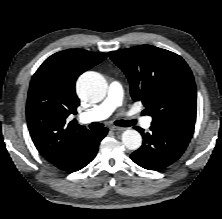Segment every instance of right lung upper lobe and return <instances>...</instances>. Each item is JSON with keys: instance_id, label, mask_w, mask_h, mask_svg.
Here are the masks:
<instances>
[{"instance_id": "1", "label": "right lung upper lobe", "mask_w": 222, "mask_h": 219, "mask_svg": "<svg viewBox=\"0 0 222 219\" xmlns=\"http://www.w3.org/2000/svg\"><path fill=\"white\" fill-rule=\"evenodd\" d=\"M107 57L68 49L47 58L32 77L26 106L28 129L37 150L57 168L64 166L90 130L67 123L80 100L75 92L79 75Z\"/></svg>"}]
</instances>
